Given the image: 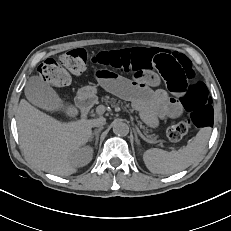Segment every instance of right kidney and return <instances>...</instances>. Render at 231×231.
Segmentation results:
<instances>
[{"instance_id": "1", "label": "right kidney", "mask_w": 231, "mask_h": 231, "mask_svg": "<svg viewBox=\"0 0 231 231\" xmlns=\"http://www.w3.org/2000/svg\"><path fill=\"white\" fill-rule=\"evenodd\" d=\"M92 156V149L89 147H83L74 156L75 164L77 166H84L92 160Z\"/></svg>"}]
</instances>
